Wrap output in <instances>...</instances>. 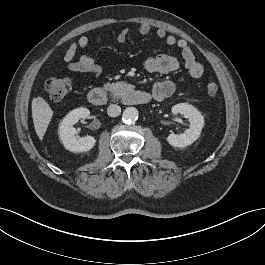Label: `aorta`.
Instances as JSON below:
<instances>
[{
  "label": "aorta",
  "instance_id": "1",
  "mask_svg": "<svg viewBox=\"0 0 265 265\" xmlns=\"http://www.w3.org/2000/svg\"><path fill=\"white\" fill-rule=\"evenodd\" d=\"M138 114L135 107H128L123 111V119L126 122L133 123L138 119Z\"/></svg>",
  "mask_w": 265,
  "mask_h": 265
}]
</instances>
